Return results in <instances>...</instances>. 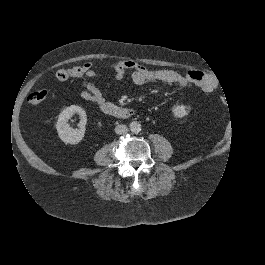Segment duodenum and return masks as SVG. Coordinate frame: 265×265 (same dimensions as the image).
I'll use <instances>...</instances> for the list:
<instances>
[{
  "label": "duodenum",
  "mask_w": 265,
  "mask_h": 265,
  "mask_svg": "<svg viewBox=\"0 0 265 265\" xmlns=\"http://www.w3.org/2000/svg\"><path fill=\"white\" fill-rule=\"evenodd\" d=\"M99 107L105 114L122 119L129 118L135 113L131 108L118 106L109 102L101 103Z\"/></svg>",
  "instance_id": "410a0bca"
}]
</instances>
